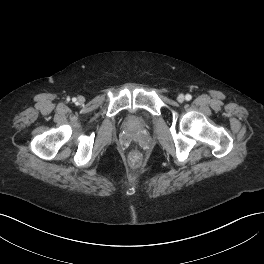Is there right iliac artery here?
I'll return each mask as SVG.
<instances>
[{"label":"right iliac artery","mask_w":264,"mask_h":264,"mask_svg":"<svg viewBox=\"0 0 264 264\" xmlns=\"http://www.w3.org/2000/svg\"><path fill=\"white\" fill-rule=\"evenodd\" d=\"M72 101H73V102H76V98H73Z\"/></svg>","instance_id":"right-iliac-artery-1"}]
</instances>
